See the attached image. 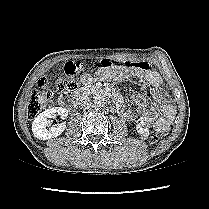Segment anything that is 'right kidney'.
Listing matches in <instances>:
<instances>
[{"instance_id": "right-kidney-1", "label": "right kidney", "mask_w": 209, "mask_h": 209, "mask_svg": "<svg viewBox=\"0 0 209 209\" xmlns=\"http://www.w3.org/2000/svg\"><path fill=\"white\" fill-rule=\"evenodd\" d=\"M55 115H60L65 119L68 116V110L64 107H54L40 113L32 122V132L36 138L48 140L59 136L65 130V123L47 128L50 123L49 118Z\"/></svg>"}]
</instances>
